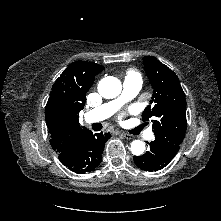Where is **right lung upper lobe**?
I'll list each match as a JSON object with an SVG mask.
<instances>
[{"mask_svg":"<svg viewBox=\"0 0 221 221\" xmlns=\"http://www.w3.org/2000/svg\"><path fill=\"white\" fill-rule=\"evenodd\" d=\"M104 67L93 62L71 63L55 81L45 108L50 144L57 153L78 147L88 129L79 124V112L84 108L86 93L94 77Z\"/></svg>","mask_w":221,"mask_h":221,"instance_id":"right-lung-upper-lobe-1","label":"right lung upper lobe"}]
</instances>
